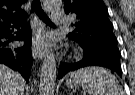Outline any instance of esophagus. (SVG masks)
<instances>
[{"label": "esophagus", "mask_w": 135, "mask_h": 95, "mask_svg": "<svg viewBox=\"0 0 135 95\" xmlns=\"http://www.w3.org/2000/svg\"><path fill=\"white\" fill-rule=\"evenodd\" d=\"M42 25L37 16H34V31L32 38V54L35 59H42L45 57V50L40 48V39L42 34Z\"/></svg>", "instance_id": "obj_1"}]
</instances>
